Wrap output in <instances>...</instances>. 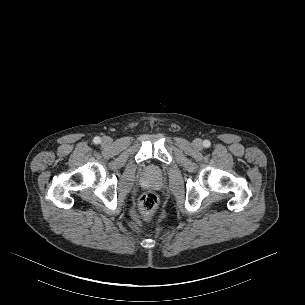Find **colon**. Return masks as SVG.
<instances>
[{
  "mask_svg": "<svg viewBox=\"0 0 305 305\" xmlns=\"http://www.w3.org/2000/svg\"><path fill=\"white\" fill-rule=\"evenodd\" d=\"M158 204V197L154 192H147L139 199L138 209L140 218L144 221L149 220L154 214Z\"/></svg>",
  "mask_w": 305,
  "mask_h": 305,
  "instance_id": "colon-1",
  "label": "colon"
}]
</instances>
